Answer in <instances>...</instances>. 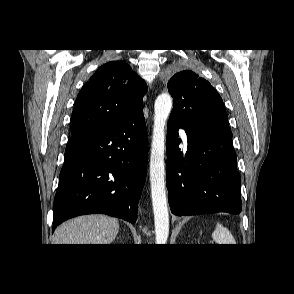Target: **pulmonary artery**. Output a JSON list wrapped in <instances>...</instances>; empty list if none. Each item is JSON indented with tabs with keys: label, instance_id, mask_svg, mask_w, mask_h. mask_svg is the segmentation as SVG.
<instances>
[{
	"label": "pulmonary artery",
	"instance_id": "e3ab8cb5",
	"mask_svg": "<svg viewBox=\"0 0 294 294\" xmlns=\"http://www.w3.org/2000/svg\"><path fill=\"white\" fill-rule=\"evenodd\" d=\"M179 135L182 138V140L184 141V143H187V136H186V132L184 129H182V128L179 129Z\"/></svg>",
	"mask_w": 294,
	"mask_h": 294
}]
</instances>
